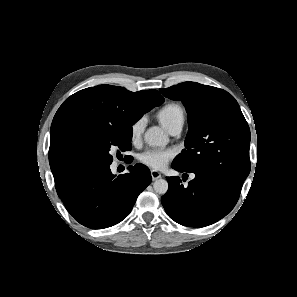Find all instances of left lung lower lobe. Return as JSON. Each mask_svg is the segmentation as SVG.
Returning <instances> with one entry per match:
<instances>
[{
  "label": "left lung lower lobe",
  "mask_w": 297,
  "mask_h": 297,
  "mask_svg": "<svg viewBox=\"0 0 297 297\" xmlns=\"http://www.w3.org/2000/svg\"><path fill=\"white\" fill-rule=\"evenodd\" d=\"M172 168L186 172L173 163ZM194 174L188 185H183L177 176L168 177L169 188L161 202L172 220L198 228L226 216L237 203L241 189L214 176Z\"/></svg>",
  "instance_id": "obj_1"
}]
</instances>
